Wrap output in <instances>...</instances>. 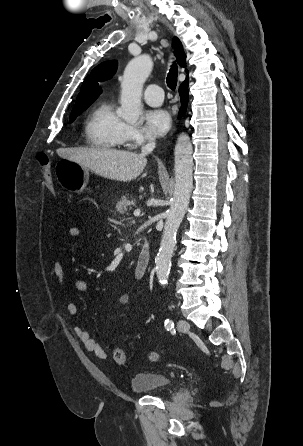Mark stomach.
Returning <instances> with one entry per match:
<instances>
[{
	"label": "stomach",
	"instance_id": "stomach-1",
	"mask_svg": "<svg viewBox=\"0 0 303 446\" xmlns=\"http://www.w3.org/2000/svg\"><path fill=\"white\" fill-rule=\"evenodd\" d=\"M55 175L58 183L70 192H83L89 181L88 168L64 158L56 163Z\"/></svg>",
	"mask_w": 303,
	"mask_h": 446
}]
</instances>
